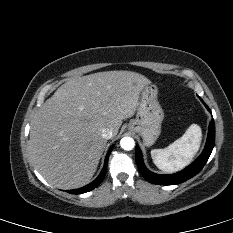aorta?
Wrapping results in <instances>:
<instances>
[{"label":"aorta","instance_id":"obj_1","mask_svg":"<svg viewBox=\"0 0 233 233\" xmlns=\"http://www.w3.org/2000/svg\"><path fill=\"white\" fill-rule=\"evenodd\" d=\"M120 146H121L122 149L130 151V150H132L134 148L135 141L131 137H123L120 140Z\"/></svg>","mask_w":233,"mask_h":233}]
</instances>
